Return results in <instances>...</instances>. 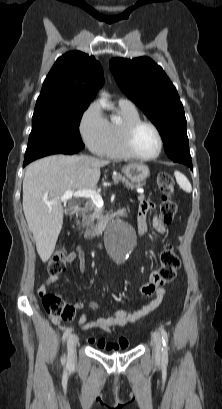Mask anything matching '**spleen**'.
<instances>
[{
    "mask_svg": "<svg viewBox=\"0 0 222 409\" xmlns=\"http://www.w3.org/2000/svg\"><path fill=\"white\" fill-rule=\"evenodd\" d=\"M175 178L179 186L187 193L192 191V186L189 180L179 171L174 172Z\"/></svg>",
    "mask_w": 222,
    "mask_h": 409,
    "instance_id": "3e777b00",
    "label": "spleen"
}]
</instances>
